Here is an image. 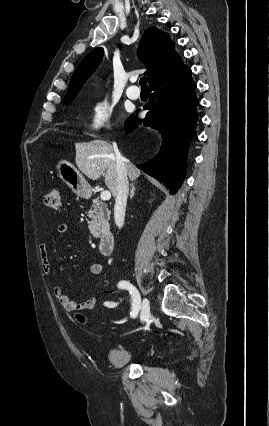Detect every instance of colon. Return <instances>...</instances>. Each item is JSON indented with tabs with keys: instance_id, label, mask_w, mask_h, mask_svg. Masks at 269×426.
<instances>
[{
	"instance_id": "1",
	"label": "colon",
	"mask_w": 269,
	"mask_h": 426,
	"mask_svg": "<svg viewBox=\"0 0 269 426\" xmlns=\"http://www.w3.org/2000/svg\"><path fill=\"white\" fill-rule=\"evenodd\" d=\"M45 204L47 207L52 209L61 208V189L59 187H53L45 195ZM77 320L79 323L84 324L86 319L82 314H77Z\"/></svg>"
}]
</instances>
